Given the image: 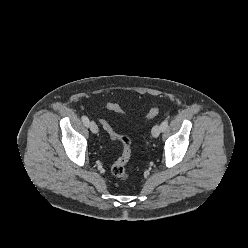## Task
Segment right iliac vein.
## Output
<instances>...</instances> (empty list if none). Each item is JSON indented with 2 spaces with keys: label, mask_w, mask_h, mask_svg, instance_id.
I'll use <instances>...</instances> for the list:
<instances>
[{
  "label": "right iliac vein",
  "mask_w": 248,
  "mask_h": 248,
  "mask_svg": "<svg viewBox=\"0 0 248 248\" xmlns=\"http://www.w3.org/2000/svg\"><path fill=\"white\" fill-rule=\"evenodd\" d=\"M88 126L92 133L94 134L98 133V126L96 125L94 121H90Z\"/></svg>",
  "instance_id": "obj_1"
}]
</instances>
